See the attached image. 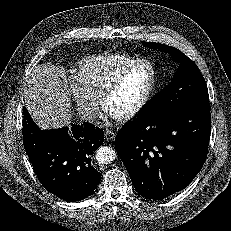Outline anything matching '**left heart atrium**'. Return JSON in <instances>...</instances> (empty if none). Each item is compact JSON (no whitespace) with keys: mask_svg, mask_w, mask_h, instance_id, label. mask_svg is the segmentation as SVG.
<instances>
[{"mask_svg":"<svg viewBox=\"0 0 231 231\" xmlns=\"http://www.w3.org/2000/svg\"><path fill=\"white\" fill-rule=\"evenodd\" d=\"M104 111L107 115H111L105 108H104Z\"/></svg>","mask_w":231,"mask_h":231,"instance_id":"1","label":"left heart atrium"}]
</instances>
